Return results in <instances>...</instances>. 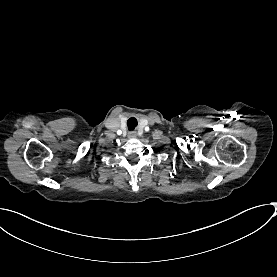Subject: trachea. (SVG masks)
<instances>
[{"label":"trachea","instance_id":"trachea-1","mask_svg":"<svg viewBox=\"0 0 277 277\" xmlns=\"http://www.w3.org/2000/svg\"><path fill=\"white\" fill-rule=\"evenodd\" d=\"M137 124H138V122L135 117H131L127 121V126L130 131H133L135 129V127L137 126Z\"/></svg>","mask_w":277,"mask_h":277}]
</instances>
